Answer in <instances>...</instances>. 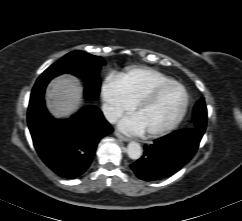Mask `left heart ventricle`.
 I'll return each instance as SVG.
<instances>
[{
  "mask_svg": "<svg viewBox=\"0 0 242 221\" xmlns=\"http://www.w3.org/2000/svg\"><path fill=\"white\" fill-rule=\"evenodd\" d=\"M183 101V91L179 87H170L134 116L142 125L144 132L158 130L168 125L177 116Z\"/></svg>",
  "mask_w": 242,
  "mask_h": 221,
  "instance_id": "1",
  "label": "left heart ventricle"
}]
</instances>
